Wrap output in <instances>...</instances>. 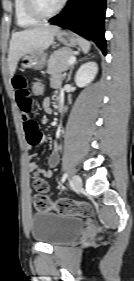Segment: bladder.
<instances>
[{
    "mask_svg": "<svg viewBox=\"0 0 134 281\" xmlns=\"http://www.w3.org/2000/svg\"><path fill=\"white\" fill-rule=\"evenodd\" d=\"M84 227L85 222L79 217L48 211L36 212L31 219L32 238L51 246L72 242L81 234Z\"/></svg>",
    "mask_w": 134,
    "mask_h": 281,
    "instance_id": "1",
    "label": "bladder"
}]
</instances>
